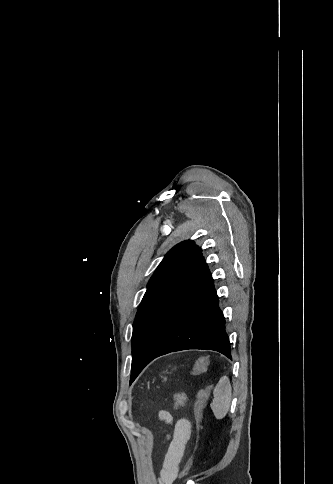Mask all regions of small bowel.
<instances>
[{
	"mask_svg": "<svg viewBox=\"0 0 333 484\" xmlns=\"http://www.w3.org/2000/svg\"><path fill=\"white\" fill-rule=\"evenodd\" d=\"M159 417L165 423L169 424L172 429L166 436L168 448L162 463L158 483L172 484L178 475L179 464L183 457L185 446L190 438L191 424L186 418H180L174 421L172 415L166 410H161Z\"/></svg>",
	"mask_w": 333,
	"mask_h": 484,
	"instance_id": "1",
	"label": "small bowel"
}]
</instances>
